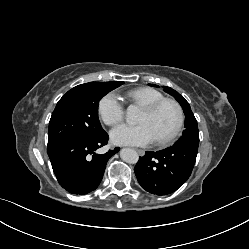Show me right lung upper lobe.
Returning <instances> with one entry per match:
<instances>
[{"label": "right lung upper lobe", "mask_w": 249, "mask_h": 249, "mask_svg": "<svg viewBox=\"0 0 249 249\" xmlns=\"http://www.w3.org/2000/svg\"><path fill=\"white\" fill-rule=\"evenodd\" d=\"M109 85H117L120 83V81H110V82H106Z\"/></svg>", "instance_id": "1"}]
</instances>
